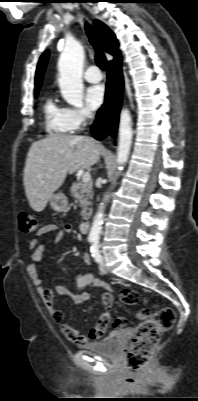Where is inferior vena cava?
Wrapping results in <instances>:
<instances>
[{"instance_id": "obj_1", "label": "inferior vena cava", "mask_w": 198, "mask_h": 401, "mask_svg": "<svg viewBox=\"0 0 198 401\" xmlns=\"http://www.w3.org/2000/svg\"><path fill=\"white\" fill-rule=\"evenodd\" d=\"M86 117L90 118L91 117V113L89 111H86L85 113Z\"/></svg>"}]
</instances>
